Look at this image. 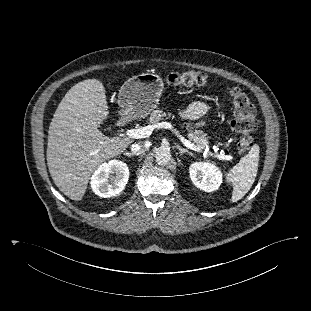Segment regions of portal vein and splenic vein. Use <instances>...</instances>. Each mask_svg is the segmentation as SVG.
I'll list each match as a JSON object with an SVG mask.
<instances>
[{
    "label": "portal vein and splenic vein",
    "instance_id": "18ae733b",
    "mask_svg": "<svg viewBox=\"0 0 311 311\" xmlns=\"http://www.w3.org/2000/svg\"><path fill=\"white\" fill-rule=\"evenodd\" d=\"M155 128H164V129H169L171 130L179 139L180 141L188 148L194 150V151H202L201 147H198L196 145H194L193 143H191L189 140H187L185 137H183L179 131L177 129H175L171 123L168 122H161V123H157L154 125H149V126H145V127H141V128H136V129H128L126 131V135L130 138L133 139H141V138H146L149 137L152 134V131ZM205 154H209V155H214V157L220 159V160H231L232 156L230 155H224V154H212L211 152H209V149L206 148L204 150Z\"/></svg>",
    "mask_w": 311,
    "mask_h": 311
}]
</instances>
